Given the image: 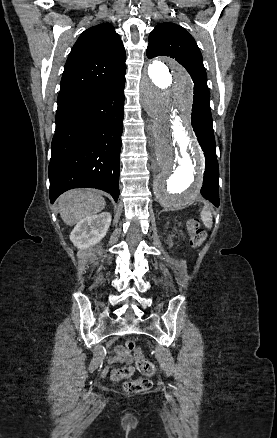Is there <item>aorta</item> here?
<instances>
[{"label":"aorta","instance_id":"aorta-1","mask_svg":"<svg viewBox=\"0 0 277 438\" xmlns=\"http://www.w3.org/2000/svg\"><path fill=\"white\" fill-rule=\"evenodd\" d=\"M139 93L153 119L160 167L156 198L165 208H183L199 194L204 171L203 154L190 126L192 81L175 62L155 60L142 74Z\"/></svg>","mask_w":277,"mask_h":438}]
</instances>
